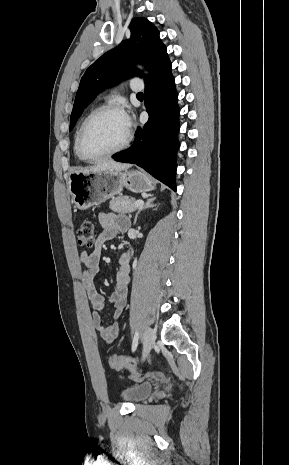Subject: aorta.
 <instances>
[{
  "instance_id": "aorta-1",
  "label": "aorta",
  "mask_w": 289,
  "mask_h": 465,
  "mask_svg": "<svg viewBox=\"0 0 289 465\" xmlns=\"http://www.w3.org/2000/svg\"><path fill=\"white\" fill-rule=\"evenodd\" d=\"M137 68H139L140 70H143V67L140 65H137Z\"/></svg>"
}]
</instances>
